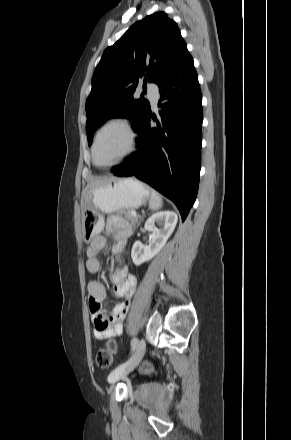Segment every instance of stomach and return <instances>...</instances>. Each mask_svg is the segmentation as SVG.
<instances>
[{
  "instance_id": "stomach-1",
  "label": "stomach",
  "mask_w": 291,
  "mask_h": 440,
  "mask_svg": "<svg viewBox=\"0 0 291 440\" xmlns=\"http://www.w3.org/2000/svg\"><path fill=\"white\" fill-rule=\"evenodd\" d=\"M150 199V191L134 178L113 179L88 189L84 196L83 237L91 239L104 227L103 214L135 209Z\"/></svg>"
}]
</instances>
